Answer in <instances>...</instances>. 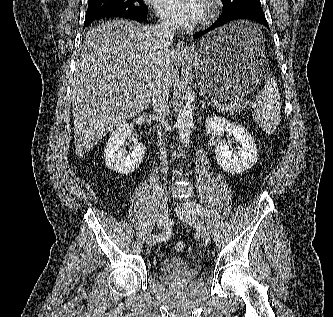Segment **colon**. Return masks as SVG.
<instances>
[{"instance_id": "obj_1", "label": "colon", "mask_w": 333, "mask_h": 317, "mask_svg": "<svg viewBox=\"0 0 333 317\" xmlns=\"http://www.w3.org/2000/svg\"><path fill=\"white\" fill-rule=\"evenodd\" d=\"M174 248L176 252H183L185 250V243L182 241H178L175 243Z\"/></svg>"}]
</instances>
